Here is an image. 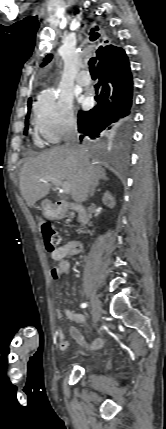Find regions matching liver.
<instances>
[{"instance_id":"obj_1","label":"liver","mask_w":166,"mask_h":429,"mask_svg":"<svg viewBox=\"0 0 166 429\" xmlns=\"http://www.w3.org/2000/svg\"><path fill=\"white\" fill-rule=\"evenodd\" d=\"M91 160V155L84 150L83 154L66 147L52 148L36 157L28 159L19 174V187L28 206L49 194L52 181H66L71 186V196L75 202L87 200L90 186H93L104 169Z\"/></svg>"}]
</instances>
